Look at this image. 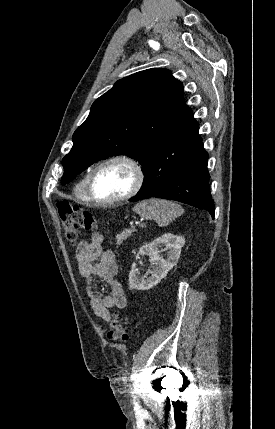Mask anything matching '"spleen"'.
I'll return each mask as SVG.
<instances>
[{
  "instance_id": "spleen-1",
  "label": "spleen",
  "mask_w": 275,
  "mask_h": 429,
  "mask_svg": "<svg viewBox=\"0 0 275 429\" xmlns=\"http://www.w3.org/2000/svg\"><path fill=\"white\" fill-rule=\"evenodd\" d=\"M133 211L142 218L155 220L159 226L163 227L181 216L184 209L175 202L151 198L136 204Z\"/></svg>"
}]
</instances>
